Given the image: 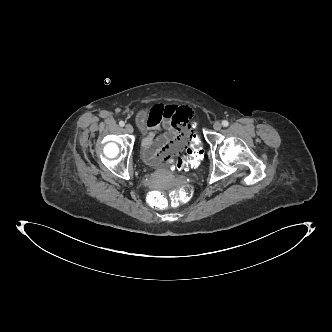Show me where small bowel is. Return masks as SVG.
<instances>
[{"label":"small bowel","mask_w":332,"mask_h":332,"mask_svg":"<svg viewBox=\"0 0 332 332\" xmlns=\"http://www.w3.org/2000/svg\"><path fill=\"white\" fill-rule=\"evenodd\" d=\"M193 110L176 103H155L137 114L144 132L142 157L146 163L166 166L171 157H179L189 145V124ZM164 131L158 135V132Z\"/></svg>","instance_id":"1"}]
</instances>
